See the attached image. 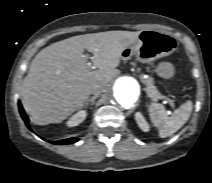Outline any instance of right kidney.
Instances as JSON below:
<instances>
[{
	"label": "right kidney",
	"mask_w": 212,
	"mask_h": 183,
	"mask_svg": "<svg viewBox=\"0 0 212 183\" xmlns=\"http://www.w3.org/2000/svg\"><path fill=\"white\" fill-rule=\"evenodd\" d=\"M87 114L84 110H81L77 112L75 115H73L68 121L67 126L68 127H74L79 125L81 122H83L86 118Z\"/></svg>",
	"instance_id": "obj_1"
}]
</instances>
